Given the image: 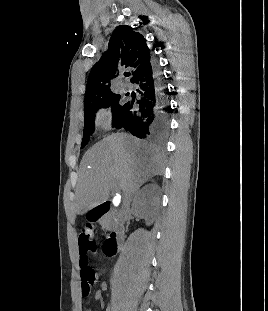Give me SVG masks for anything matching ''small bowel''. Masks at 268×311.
I'll list each match as a JSON object with an SVG mask.
<instances>
[{
  "instance_id": "1",
  "label": "small bowel",
  "mask_w": 268,
  "mask_h": 311,
  "mask_svg": "<svg viewBox=\"0 0 268 311\" xmlns=\"http://www.w3.org/2000/svg\"><path fill=\"white\" fill-rule=\"evenodd\" d=\"M101 287H102V290L106 289V285H105V284H102ZM81 293H82V296H85V295L83 294V291H82V290H81ZM102 296H103V295H102V291H101V290H99V291H97V292L95 293V298H96V299H101Z\"/></svg>"
}]
</instances>
